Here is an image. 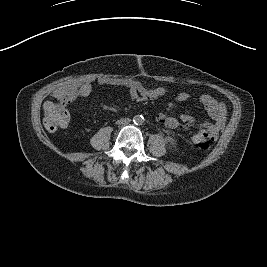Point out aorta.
Here are the masks:
<instances>
[{
    "instance_id": "1",
    "label": "aorta",
    "mask_w": 267,
    "mask_h": 267,
    "mask_svg": "<svg viewBox=\"0 0 267 267\" xmlns=\"http://www.w3.org/2000/svg\"><path fill=\"white\" fill-rule=\"evenodd\" d=\"M134 122H135L136 124H142V123L144 122V118L141 117V116H135V117H134Z\"/></svg>"
}]
</instances>
